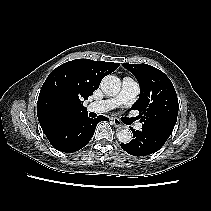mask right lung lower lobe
I'll use <instances>...</instances> for the list:
<instances>
[{
	"label": "right lung lower lobe",
	"instance_id": "obj_1",
	"mask_svg": "<svg viewBox=\"0 0 211 211\" xmlns=\"http://www.w3.org/2000/svg\"><path fill=\"white\" fill-rule=\"evenodd\" d=\"M100 120L108 118L99 116L92 119L87 114L73 115L60 120L44 134L55 149L72 153L88 144Z\"/></svg>",
	"mask_w": 211,
	"mask_h": 211
}]
</instances>
